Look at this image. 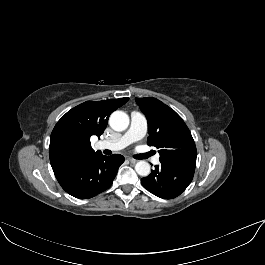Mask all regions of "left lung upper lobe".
Segmentation results:
<instances>
[{
  "label": "left lung upper lobe",
  "mask_w": 265,
  "mask_h": 265,
  "mask_svg": "<svg viewBox=\"0 0 265 265\" xmlns=\"http://www.w3.org/2000/svg\"><path fill=\"white\" fill-rule=\"evenodd\" d=\"M147 118V144L159 149L160 160L196 159L193 137L182 118L156 98H136Z\"/></svg>",
  "instance_id": "1"
}]
</instances>
